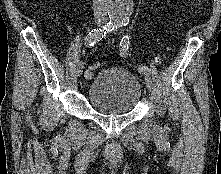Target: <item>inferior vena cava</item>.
I'll return each mask as SVG.
<instances>
[{"instance_id": "inferior-vena-cava-1", "label": "inferior vena cava", "mask_w": 221, "mask_h": 174, "mask_svg": "<svg viewBox=\"0 0 221 174\" xmlns=\"http://www.w3.org/2000/svg\"><path fill=\"white\" fill-rule=\"evenodd\" d=\"M93 9L95 17H106L107 16L106 0H93Z\"/></svg>"}]
</instances>
